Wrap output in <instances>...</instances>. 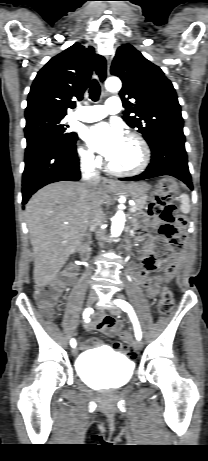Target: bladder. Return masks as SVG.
<instances>
[{
	"label": "bladder",
	"instance_id": "1",
	"mask_svg": "<svg viewBox=\"0 0 208 461\" xmlns=\"http://www.w3.org/2000/svg\"><path fill=\"white\" fill-rule=\"evenodd\" d=\"M133 370L131 359L109 351L87 352L76 361L78 376L98 390L122 388L131 380Z\"/></svg>",
	"mask_w": 208,
	"mask_h": 461
}]
</instances>
